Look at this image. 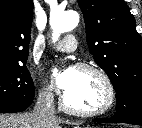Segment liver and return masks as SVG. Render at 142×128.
Segmentation results:
<instances>
[{"instance_id":"liver-1","label":"liver","mask_w":142,"mask_h":128,"mask_svg":"<svg viewBox=\"0 0 142 128\" xmlns=\"http://www.w3.org/2000/svg\"><path fill=\"white\" fill-rule=\"evenodd\" d=\"M60 123H70L57 118L44 124L33 113L0 114V128H61Z\"/></svg>"}]
</instances>
